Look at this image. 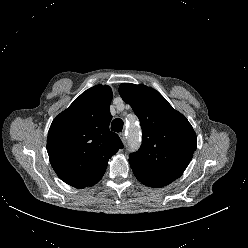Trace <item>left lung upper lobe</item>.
Segmentation results:
<instances>
[{
	"mask_svg": "<svg viewBox=\"0 0 248 248\" xmlns=\"http://www.w3.org/2000/svg\"><path fill=\"white\" fill-rule=\"evenodd\" d=\"M122 99L138 116L142 145L129 163L136 178L149 187H163L179 178L196 150L197 137L188 120L156 90L123 83Z\"/></svg>",
	"mask_w": 248,
	"mask_h": 248,
	"instance_id": "left-lung-upper-lobe-1",
	"label": "left lung upper lobe"
}]
</instances>
